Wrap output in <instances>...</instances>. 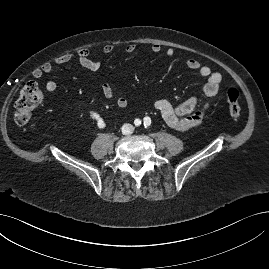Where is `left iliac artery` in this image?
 Listing matches in <instances>:
<instances>
[{"label": "left iliac artery", "instance_id": "44dca946", "mask_svg": "<svg viewBox=\"0 0 269 269\" xmlns=\"http://www.w3.org/2000/svg\"><path fill=\"white\" fill-rule=\"evenodd\" d=\"M151 124V119L149 117L144 118V126L145 128Z\"/></svg>", "mask_w": 269, "mask_h": 269}]
</instances>
